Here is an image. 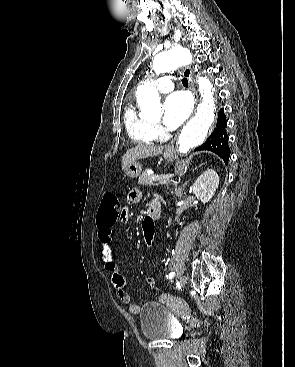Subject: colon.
<instances>
[{"label":"colon","instance_id":"colon-1","mask_svg":"<svg viewBox=\"0 0 295 367\" xmlns=\"http://www.w3.org/2000/svg\"><path fill=\"white\" fill-rule=\"evenodd\" d=\"M121 209L122 207H120L116 195L112 193L105 194L100 205L97 222L100 224L114 223L119 220ZM140 229L144 230L145 246H154L157 230L153 219H142Z\"/></svg>","mask_w":295,"mask_h":367}]
</instances>
